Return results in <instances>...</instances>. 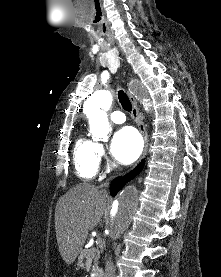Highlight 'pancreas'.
<instances>
[{
    "label": "pancreas",
    "instance_id": "cf45deb5",
    "mask_svg": "<svg viewBox=\"0 0 221 277\" xmlns=\"http://www.w3.org/2000/svg\"><path fill=\"white\" fill-rule=\"evenodd\" d=\"M93 259L95 262V267H97L98 259H99V251L95 250L94 248L83 250L78 257L77 266L79 268H84V266H86V268L89 269L91 267V263ZM97 277H102V275L98 274Z\"/></svg>",
    "mask_w": 221,
    "mask_h": 277
}]
</instances>
